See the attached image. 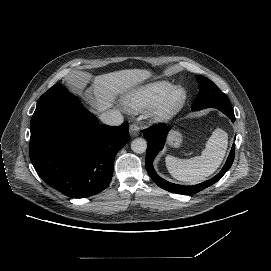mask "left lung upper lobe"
Segmentation results:
<instances>
[{"instance_id":"left-lung-upper-lobe-1","label":"left lung upper lobe","mask_w":271,"mask_h":271,"mask_svg":"<svg viewBox=\"0 0 271 271\" xmlns=\"http://www.w3.org/2000/svg\"><path fill=\"white\" fill-rule=\"evenodd\" d=\"M199 94L192 109L216 108L219 110H233L227 96L208 78L197 75Z\"/></svg>"}]
</instances>
